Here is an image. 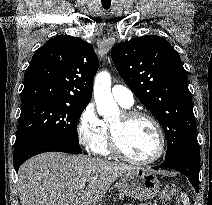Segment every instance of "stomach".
Wrapping results in <instances>:
<instances>
[{
    "label": "stomach",
    "mask_w": 212,
    "mask_h": 205,
    "mask_svg": "<svg viewBox=\"0 0 212 205\" xmlns=\"http://www.w3.org/2000/svg\"><path fill=\"white\" fill-rule=\"evenodd\" d=\"M160 186L157 176L143 168L125 172L116 183L120 197H130L140 201L153 199L159 193Z\"/></svg>",
    "instance_id": "1"
}]
</instances>
